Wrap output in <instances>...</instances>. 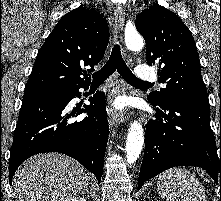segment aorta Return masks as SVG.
I'll return each instance as SVG.
<instances>
[{
  "mask_svg": "<svg viewBox=\"0 0 221 201\" xmlns=\"http://www.w3.org/2000/svg\"><path fill=\"white\" fill-rule=\"evenodd\" d=\"M126 46L131 51H139L144 46L143 38L139 34L126 37ZM144 144L143 127L140 122L134 120L131 124L126 141V160L133 164L139 158Z\"/></svg>",
  "mask_w": 221,
  "mask_h": 201,
  "instance_id": "obj_1",
  "label": "aorta"
}]
</instances>
